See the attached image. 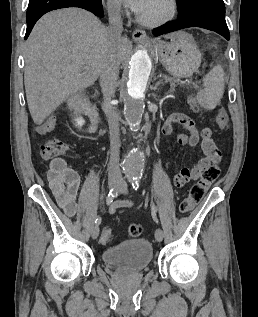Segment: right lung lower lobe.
<instances>
[{
    "instance_id": "1",
    "label": "right lung lower lobe",
    "mask_w": 258,
    "mask_h": 317,
    "mask_svg": "<svg viewBox=\"0 0 258 317\" xmlns=\"http://www.w3.org/2000/svg\"><path fill=\"white\" fill-rule=\"evenodd\" d=\"M66 7H79L94 13L99 18L104 17L101 0H29L26 14L27 30L25 39L29 36L36 21L45 13Z\"/></svg>"
}]
</instances>
